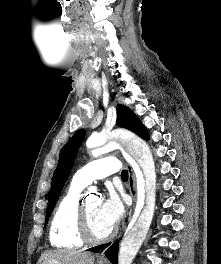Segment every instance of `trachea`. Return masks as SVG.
<instances>
[{"label":"trachea","mask_w":221,"mask_h":264,"mask_svg":"<svg viewBox=\"0 0 221 264\" xmlns=\"http://www.w3.org/2000/svg\"><path fill=\"white\" fill-rule=\"evenodd\" d=\"M121 178L123 180H127L128 179V171L127 170H122V172H121Z\"/></svg>","instance_id":"trachea-1"}]
</instances>
